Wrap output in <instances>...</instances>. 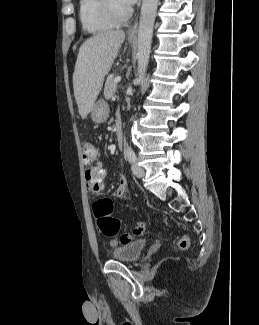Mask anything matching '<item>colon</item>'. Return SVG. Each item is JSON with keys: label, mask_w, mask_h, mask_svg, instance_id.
Listing matches in <instances>:
<instances>
[{"label": "colon", "mask_w": 259, "mask_h": 325, "mask_svg": "<svg viewBox=\"0 0 259 325\" xmlns=\"http://www.w3.org/2000/svg\"><path fill=\"white\" fill-rule=\"evenodd\" d=\"M82 158L84 162H92L98 156V150L91 141H84L81 145ZM114 205L112 200L108 198L100 199L93 204V213L97 222L99 231L106 236L117 235L122 227L121 222L114 218L113 213ZM146 230L144 222H137L132 229L131 233H122L119 238L120 244H127L135 237L142 235ZM118 242L113 241L111 244L116 245ZM190 240L188 236L183 235L177 242V247L180 250L188 249Z\"/></svg>", "instance_id": "colon-1"}]
</instances>
